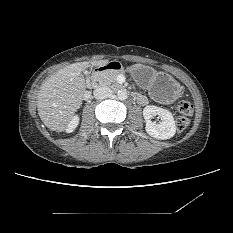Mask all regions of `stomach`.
Masks as SVG:
<instances>
[{"mask_svg":"<svg viewBox=\"0 0 233 233\" xmlns=\"http://www.w3.org/2000/svg\"><path fill=\"white\" fill-rule=\"evenodd\" d=\"M136 82L148 90L150 96L162 103H171L180 95L179 83L168 73L154 68L135 64L129 67Z\"/></svg>","mask_w":233,"mask_h":233,"instance_id":"obj_1","label":"stomach"}]
</instances>
